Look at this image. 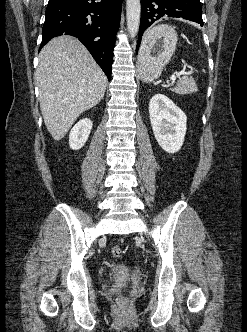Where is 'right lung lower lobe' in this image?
Returning <instances> with one entry per match:
<instances>
[{"mask_svg": "<svg viewBox=\"0 0 247 332\" xmlns=\"http://www.w3.org/2000/svg\"><path fill=\"white\" fill-rule=\"evenodd\" d=\"M122 0H49L40 48L62 34L77 37L111 78Z\"/></svg>", "mask_w": 247, "mask_h": 332, "instance_id": "98d812e1", "label": "right lung lower lobe"}]
</instances>
